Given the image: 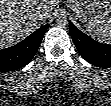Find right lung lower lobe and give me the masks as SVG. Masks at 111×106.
<instances>
[{"instance_id":"obj_1","label":"right lung lower lobe","mask_w":111,"mask_h":106,"mask_svg":"<svg viewBox=\"0 0 111 106\" xmlns=\"http://www.w3.org/2000/svg\"><path fill=\"white\" fill-rule=\"evenodd\" d=\"M46 24L33 32L20 43L0 50V72L17 70L27 65L37 52L45 31Z\"/></svg>"}]
</instances>
